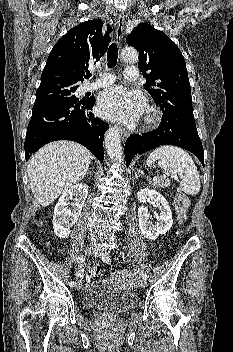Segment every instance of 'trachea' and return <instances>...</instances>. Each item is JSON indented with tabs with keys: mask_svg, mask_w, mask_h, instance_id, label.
<instances>
[{
	"mask_svg": "<svg viewBox=\"0 0 233 352\" xmlns=\"http://www.w3.org/2000/svg\"><path fill=\"white\" fill-rule=\"evenodd\" d=\"M117 59H118V47L115 43H112L109 46V49L107 52V66L109 68L115 67V65L117 64ZM85 77L89 78L91 77V74L88 73Z\"/></svg>",
	"mask_w": 233,
	"mask_h": 352,
	"instance_id": "obj_1",
	"label": "trachea"
}]
</instances>
